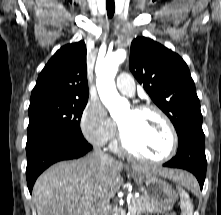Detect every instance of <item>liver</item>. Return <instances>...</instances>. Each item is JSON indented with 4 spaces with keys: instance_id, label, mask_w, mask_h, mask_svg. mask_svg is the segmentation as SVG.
I'll list each match as a JSON object with an SVG mask.
<instances>
[{
    "instance_id": "obj_1",
    "label": "liver",
    "mask_w": 221,
    "mask_h": 215,
    "mask_svg": "<svg viewBox=\"0 0 221 215\" xmlns=\"http://www.w3.org/2000/svg\"><path fill=\"white\" fill-rule=\"evenodd\" d=\"M123 164L99 162L91 156L52 165L36 180L33 201L38 215H89L98 199L109 202L119 190ZM139 174H155L186 184L193 177L183 171L133 164Z\"/></svg>"
}]
</instances>
